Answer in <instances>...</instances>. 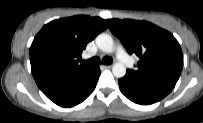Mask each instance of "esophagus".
Masks as SVG:
<instances>
[{
  "label": "esophagus",
  "mask_w": 203,
  "mask_h": 123,
  "mask_svg": "<svg viewBox=\"0 0 203 123\" xmlns=\"http://www.w3.org/2000/svg\"><path fill=\"white\" fill-rule=\"evenodd\" d=\"M104 69H110L112 66L111 65H103L102 66Z\"/></svg>",
  "instance_id": "1"
}]
</instances>
